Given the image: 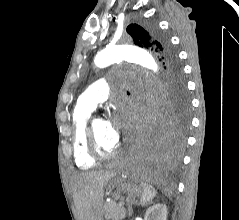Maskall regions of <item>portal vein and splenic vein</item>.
Segmentation results:
<instances>
[{
  "instance_id": "portal-vein-and-splenic-vein-1",
  "label": "portal vein and splenic vein",
  "mask_w": 239,
  "mask_h": 220,
  "mask_svg": "<svg viewBox=\"0 0 239 220\" xmlns=\"http://www.w3.org/2000/svg\"><path fill=\"white\" fill-rule=\"evenodd\" d=\"M119 205H124V203H123V202H121V203H119Z\"/></svg>"
}]
</instances>
